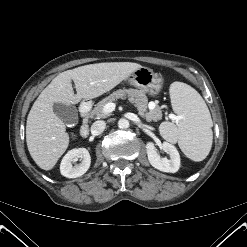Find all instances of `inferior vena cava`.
<instances>
[{"mask_svg": "<svg viewBox=\"0 0 247 247\" xmlns=\"http://www.w3.org/2000/svg\"><path fill=\"white\" fill-rule=\"evenodd\" d=\"M106 127V123L103 120L95 121L91 126V133L93 135H100Z\"/></svg>", "mask_w": 247, "mask_h": 247, "instance_id": "1", "label": "inferior vena cava"}]
</instances>
